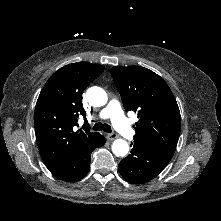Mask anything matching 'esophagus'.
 <instances>
[{"instance_id":"34e87169","label":"esophagus","mask_w":221,"mask_h":221,"mask_svg":"<svg viewBox=\"0 0 221 221\" xmlns=\"http://www.w3.org/2000/svg\"><path fill=\"white\" fill-rule=\"evenodd\" d=\"M117 138V134L116 133H109L107 134V139L108 140H114Z\"/></svg>"}]
</instances>
